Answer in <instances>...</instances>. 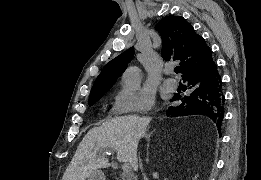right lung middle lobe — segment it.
<instances>
[{
	"instance_id": "1",
	"label": "right lung middle lobe",
	"mask_w": 261,
	"mask_h": 180,
	"mask_svg": "<svg viewBox=\"0 0 261 180\" xmlns=\"http://www.w3.org/2000/svg\"><path fill=\"white\" fill-rule=\"evenodd\" d=\"M102 96H103V95L90 98V99H89V106H92V105H93L95 102H97Z\"/></svg>"
}]
</instances>
